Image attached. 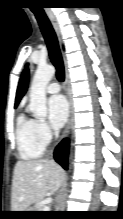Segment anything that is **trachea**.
Instances as JSON below:
<instances>
[{
	"label": "trachea",
	"instance_id": "obj_1",
	"mask_svg": "<svg viewBox=\"0 0 123 219\" xmlns=\"http://www.w3.org/2000/svg\"><path fill=\"white\" fill-rule=\"evenodd\" d=\"M44 39L46 41L51 62L56 68L57 79L64 81V67L55 31L44 11H34Z\"/></svg>",
	"mask_w": 123,
	"mask_h": 219
}]
</instances>
